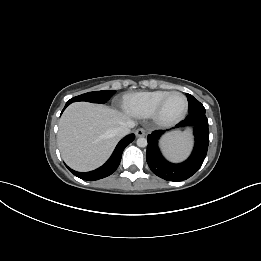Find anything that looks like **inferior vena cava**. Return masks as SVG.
Returning <instances> with one entry per match:
<instances>
[{
	"mask_svg": "<svg viewBox=\"0 0 261 261\" xmlns=\"http://www.w3.org/2000/svg\"><path fill=\"white\" fill-rule=\"evenodd\" d=\"M134 125H135L134 122L129 121V122L124 123L123 125L117 127V128L115 129V134H116V136H118V137L121 138V137H123V136L129 134V133H130V129L133 128Z\"/></svg>",
	"mask_w": 261,
	"mask_h": 261,
	"instance_id": "602c4592",
	"label": "inferior vena cava"
}]
</instances>
